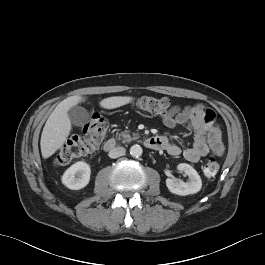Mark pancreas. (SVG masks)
I'll return each mask as SVG.
<instances>
[{"instance_id": "pancreas-1", "label": "pancreas", "mask_w": 265, "mask_h": 265, "mask_svg": "<svg viewBox=\"0 0 265 265\" xmlns=\"http://www.w3.org/2000/svg\"><path fill=\"white\" fill-rule=\"evenodd\" d=\"M119 139H122V142H130L132 140H136L139 138V135L136 133H133V137H131V135L129 134V131H124L122 133L119 134Z\"/></svg>"}]
</instances>
